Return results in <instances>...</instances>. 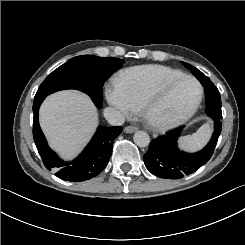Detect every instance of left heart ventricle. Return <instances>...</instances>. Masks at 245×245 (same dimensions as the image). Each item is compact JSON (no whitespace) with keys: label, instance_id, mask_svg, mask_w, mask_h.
<instances>
[{"label":"left heart ventricle","instance_id":"1","mask_svg":"<svg viewBox=\"0 0 245 245\" xmlns=\"http://www.w3.org/2000/svg\"><path fill=\"white\" fill-rule=\"evenodd\" d=\"M196 96V85L191 81L182 80L162 88L154 96V102L159 114L178 116L193 105Z\"/></svg>","mask_w":245,"mask_h":245}]
</instances>
